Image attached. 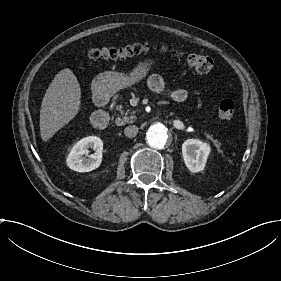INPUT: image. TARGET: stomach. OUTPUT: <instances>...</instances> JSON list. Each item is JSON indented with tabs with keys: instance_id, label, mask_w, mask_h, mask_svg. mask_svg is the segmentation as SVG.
Segmentation results:
<instances>
[{
	"instance_id": "stomach-1",
	"label": "stomach",
	"mask_w": 281,
	"mask_h": 281,
	"mask_svg": "<svg viewBox=\"0 0 281 281\" xmlns=\"http://www.w3.org/2000/svg\"><path fill=\"white\" fill-rule=\"evenodd\" d=\"M152 64V60L140 62L129 75L106 71L95 78L93 85L99 94L113 95L120 89L131 87L141 81L148 74Z\"/></svg>"
}]
</instances>
